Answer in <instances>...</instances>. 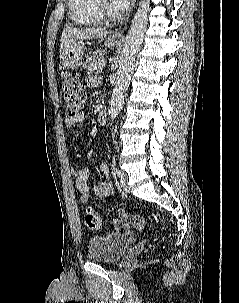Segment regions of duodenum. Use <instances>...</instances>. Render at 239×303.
Masks as SVG:
<instances>
[{
	"label": "duodenum",
	"instance_id": "410a0bca",
	"mask_svg": "<svg viewBox=\"0 0 239 303\" xmlns=\"http://www.w3.org/2000/svg\"><path fill=\"white\" fill-rule=\"evenodd\" d=\"M98 121L101 125L107 123V112L105 109H99L98 111Z\"/></svg>",
	"mask_w": 239,
	"mask_h": 303
}]
</instances>
